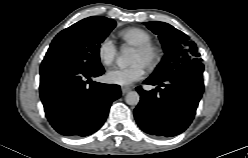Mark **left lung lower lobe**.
Instances as JSON below:
<instances>
[{
    "instance_id": "1",
    "label": "left lung lower lobe",
    "mask_w": 248,
    "mask_h": 158,
    "mask_svg": "<svg viewBox=\"0 0 248 158\" xmlns=\"http://www.w3.org/2000/svg\"><path fill=\"white\" fill-rule=\"evenodd\" d=\"M204 66L200 61L186 63L161 79L149 77L145 84L156 89L136 90L141 95L134 110L138 126L156 136H176L192 122L202 96Z\"/></svg>"
}]
</instances>
